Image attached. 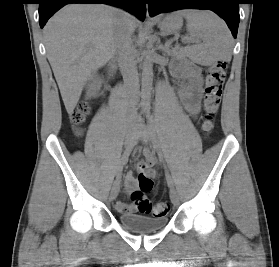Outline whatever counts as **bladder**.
<instances>
[{
  "mask_svg": "<svg viewBox=\"0 0 279 267\" xmlns=\"http://www.w3.org/2000/svg\"><path fill=\"white\" fill-rule=\"evenodd\" d=\"M119 221L125 228L135 232H155L167 224L165 216L150 217L133 212L120 214Z\"/></svg>",
  "mask_w": 279,
  "mask_h": 267,
  "instance_id": "bladder-1",
  "label": "bladder"
}]
</instances>
